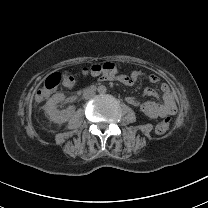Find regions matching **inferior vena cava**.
<instances>
[{
	"mask_svg": "<svg viewBox=\"0 0 208 208\" xmlns=\"http://www.w3.org/2000/svg\"><path fill=\"white\" fill-rule=\"evenodd\" d=\"M95 95V91H94V89H92V88H85L84 90H83V98L84 99H90V98H92L93 96Z\"/></svg>",
	"mask_w": 208,
	"mask_h": 208,
	"instance_id": "1",
	"label": "inferior vena cava"
}]
</instances>
